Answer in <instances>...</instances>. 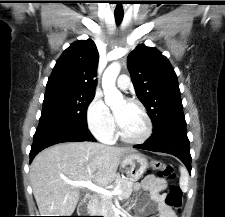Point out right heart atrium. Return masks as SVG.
Returning a JSON list of instances; mask_svg holds the SVG:
<instances>
[{"mask_svg":"<svg viewBox=\"0 0 225 217\" xmlns=\"http://www.w3.org/2000/svg\"><path fill=\"white\" fill-rule=\"evenodd\" d=\"M89 130L101 140H110L115 131V123L111 111L99 95H95L86 111Z\"/></svg>","mask_w":225,"mask_h":217,"instance_id":"1","label":"right heart atrium"}]
</instances>
